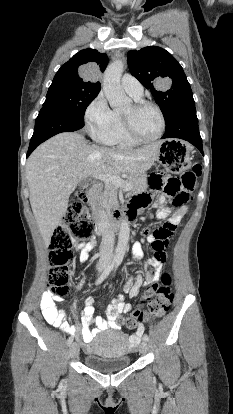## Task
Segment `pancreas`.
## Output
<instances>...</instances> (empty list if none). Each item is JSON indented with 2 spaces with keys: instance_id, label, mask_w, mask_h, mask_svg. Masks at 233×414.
<instances>
[{
  "instance_id": "cf45deb5",
  "label": "pancreas",
  "mask_w": 233,
  "mask_h": 414,
  "mask_svg": "<svg viewBox=\"0 0 233 414\" xmlns=\"http://www.w3.org/2000/svg\"><path fill=\"white\" fill-rule=\"evenodd\" d=\"M126 181L132 184V192H138L145 189V177L138 173H131ZM117 190L113 184H106L102 192V201L107 209L114 208L118 205Z\"/></svg>"
}]
</instances>
